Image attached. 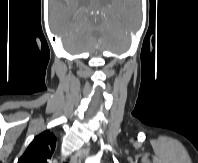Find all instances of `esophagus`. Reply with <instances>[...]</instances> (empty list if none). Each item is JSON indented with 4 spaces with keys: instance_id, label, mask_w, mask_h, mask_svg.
<instances>
[{
    "instance_id": "1",
    "label": "esophagus",
    "mask_w": 198,
    "mask_h": 163,
    "mask_svg": "<svg viewBox=\"0 0 198 163\" xmlns=\"http://www.w3.org/2000/svg\"><path fill=\"white\" fill-rule=\"evenodd\" d=\"M90 148L84 147L78 150L70 159V163H82L83 159L89 154Z\"/></svg>"
}]
</instances>
